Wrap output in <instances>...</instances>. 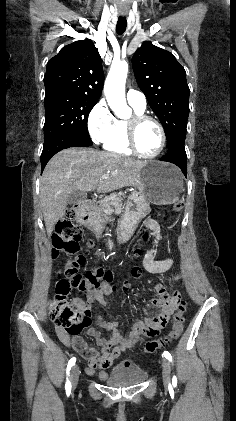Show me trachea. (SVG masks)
I'll use <instances>...</instances> for the list:
<instances>
[{"label":"trachea","mask_w":236,"mask_h":421,"mask_svg":"<svg viewBox=\"0 0 236 421\" xmlns=\"http://www.w3.org/2000/svg\"><path fill=\"white\" fill-rule=\"evenodd\" d=\"M126 26H127L126 17L120 16L118 18L117 26H116V32L118 33V35H122L125 32Z\"/></svg>","instance_id":"trachea-1"}]
</instances>
